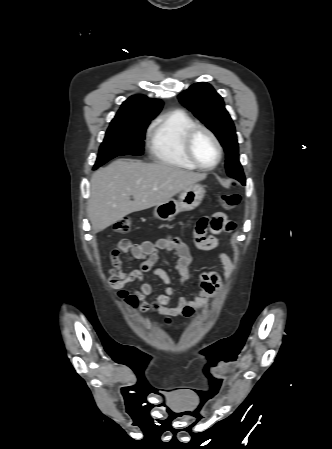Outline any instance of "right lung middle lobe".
Returning <instances> with one entry per match:
<instances>
[{
  "mask_svg": "<svg viewBox=\"0 0 332 449\" xmlns=\"http://www.w3.org/2000/svg\"><path fill=\"white\" fill-rule=\"evenodd\" d=\"M151 120L141 117L113 119L93 169L117 156L142 155L145 130Z\"/></svg>",
  "mask_w": 332,
  "mask_h": 449,
  "instance_id": "obj_1",
  "label": "right lung middle lobe"
}]
</instances>
